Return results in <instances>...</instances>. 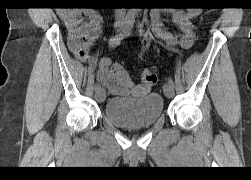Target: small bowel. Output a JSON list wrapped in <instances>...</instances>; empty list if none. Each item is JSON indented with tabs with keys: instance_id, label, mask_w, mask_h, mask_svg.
Segmentation results:
<instances>
[{
	"instance_id": "obj_1",
	"label": "small bowel",
	"mask_w": 251,
	"mask_h": 180,
	"mask_svg": "<svg viewBox=\"0 0 251 180\" xmlns=\"http://www.w3.org/2000/svg\"><path fill=\"white\" fill-rule=\"evenodd\" d=\"M169 14L178 26L180 34L174 35L163 25V17ZM199 10H154L151 12V25L154 35L169 48L179 46L188 49L193 44L195 32L193 18ZM63 23L67 31L68 46L72 53L82 61L90 58V48L99 38L103 28V17L92 9L68 11L63 14ZM98 80L108 90L119 96L146 95L149 89L133 83L127 70L120 64H113L110 59L102 58L98 63Z\"/></svg>"
}]
</instances>
